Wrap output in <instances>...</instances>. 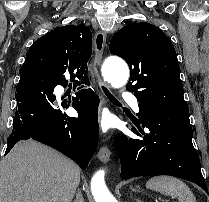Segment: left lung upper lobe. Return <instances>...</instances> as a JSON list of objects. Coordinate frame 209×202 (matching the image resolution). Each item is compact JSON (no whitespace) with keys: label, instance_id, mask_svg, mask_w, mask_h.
<instances>
[{"label":"left lung upper lobe","instance_id":"left-lung-upper-lobe-1","mask_svg":"<svg viewBox=\"0 0 209 202\" xmlns=\"http://www.w3.org/2000/svg\"><path fill=\"white\" fill-rule=\"evenodd\" d=\"M109 49L127 62L126 89L134 92L139 103L188 110L176 51L158 27L146 22L128 24L113 35Z\"/></svg>","mask_w":209,"mask_h":202}]
</instances>
